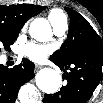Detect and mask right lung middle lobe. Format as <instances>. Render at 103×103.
I'll return each mask as SVG.
<instances>
[{"label": "right lung middle lobe", "mask_w": 103, "mask_h": 103, "mask_svg": "<svg viewBox=\"0 0 103 103\" xmlns=\"http://www.w3.org/2000/svg\"><path fill=\"white\" fill-rule=\"evenodd\" d=\"M20 30L12 29L0 22V47L9 49L10 45L16 40ZM1 51V49H0Z\"/></svg>", "instance_id": "dd1d6c3e"}]
</instances>
